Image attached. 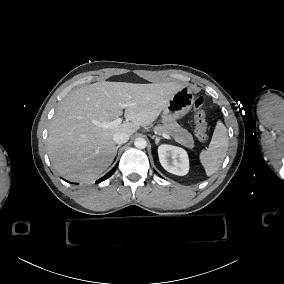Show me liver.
<instances>
[{"label":"liver","mask_w":284,"mask_h":284,"mask_svg":"<svg viewBox=\"0 0 284 284\" xmlns=\"http://www.w3.org/2000/svg\"><path fill=\"white\" fill-rule=\"evenodd\" d=\"M184 86L176 82L134 84L98 82L73 90L59 105L50 123L48 153L54 168L71 181L99 177L113 162L114 135L132 136L150 126L164 111L172 96ZM123 122L102 128L88 118L111 122L123 113Z\"/></svg>","instance_id":"1"}]
</instances>
